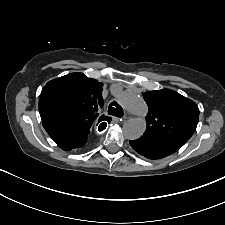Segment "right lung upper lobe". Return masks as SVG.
<instances>
[{
  "instance_id": "1",
  "label": "right lung upper lobe",
  "mask_w": 225,
  "mask_h": 225,
  "mask_svg": "<svg viewBox=\"0 0 225 225\" xmlns=\"http://www.w3.org/2000/svg\"><path fill=\"white\" fill-rule=\"evenodd\" d=\"M102 86L82 73H70L49 81L39 97L41 119L75 121L91 128L101 119L97 111L104 104Z\"/></svg>"
}]
</instances>
